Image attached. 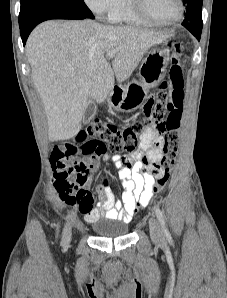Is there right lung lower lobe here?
Masks as SVG:
<instances>
[{
	"label": "right lung lower lobe",
	"instance_id": "obj_1",
	"mask_svg": "<svg viewBox=\"0 0 227 298\" xmlns=\"http://www.w3.org/2000/svg\"><path fill=\"white\" fill-rule=\"evenodd\" d=\"M87 17L66 13H58V12H49L37 15L36 17L29 20L20 27V34L22 38L23 45H25L26 40L30 34V32L41 22L49 19H85Z\"/></svg>",
	"mask_w": 227,
	"mask_h": 298
}]
</instances>
